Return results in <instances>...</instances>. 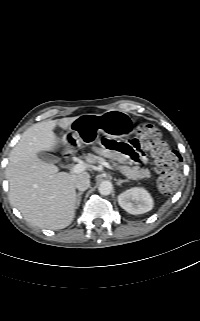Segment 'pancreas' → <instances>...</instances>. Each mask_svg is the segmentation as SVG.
I'll return each mask as SVG.
<instances>
[{"label":"pancreas","instance_id":"pancreas-1","mask_svg":"<svg viewBox=\"0 0 200 321\" xmlns=\"http://www.w3.org/2000/svg\"><path fill=\"white\" fill-rule=\"evenodd\" d=\"M104 157H108V154L106 152H101V155H95L90 153L86 155L84 159L86 160L87 163L99 164L105 160ZM110 161L128 179L139 180L143 178H149L151 176L150 171L148 169H143V168L140 169L138 166L130 167L127 165H120L119 163L114 162L113 160H110Z\"/></svg>","mask_w":200,"mask_h":321}]
</instances>
